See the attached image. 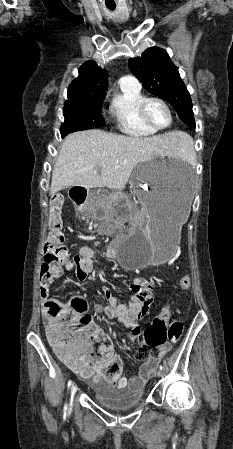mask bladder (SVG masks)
Wrapping results in <instances>:
<instances>
[{"mask_svg":"<svg viewBox=\"0 0 233 449\" xmlns=\"http://www.w3.org/2000/svg\"><path fill=\"white\" fill-rule=\"evenodd\" d=\"M91 389L97 403L111 411L132 409L140 405L144 400V389L142 387L129 386L119 389L101 382L92 385Z\"/></svg>","mask_w":233,"mask_h":449,"instance_id":"31cf9c89","label":"bladder"}]
</instances>
